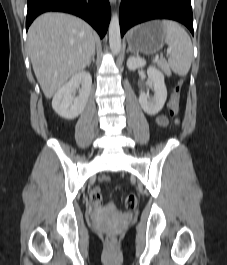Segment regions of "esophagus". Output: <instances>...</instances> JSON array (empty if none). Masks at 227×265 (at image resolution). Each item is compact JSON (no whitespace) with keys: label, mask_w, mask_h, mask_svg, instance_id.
Wrapping results in <instances>:
<instances>
[{"label":"esophagus","mask_w":227,"mask_h":265,"mask_svg":"<svg viewBox=\"0 0 227 265\" xmlns=\"http://www.w3.org/2000/svg\"><path fill=\"white\" fill-rule=\"evenodd\" d=\"M109 2H110L111 4H115V3H116V0H109Z\"/></svg>","instance_id":"34e87169"}]
</instances>
